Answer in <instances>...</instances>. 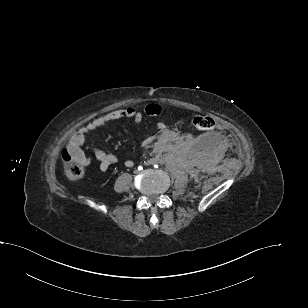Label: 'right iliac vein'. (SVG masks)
<instances>
[{
    "instance_id": "right-iliac-vein-1",
    "label": "right iliac vein",
    "mask_w": 308,
    "mask_h": 308,
    "mask_svg": "<svg viewBox=\"0 0 308 308\" xmlns=\"http://www.w3.org/2000/svg\"><path fill=\"white\" fill-rule=\"evenodd\" d=\"M139 173V170H134V174H138Z\"/></svg>"
}]
</instances>
